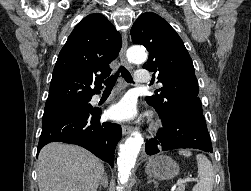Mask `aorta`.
<instances>
[{
	"label": "aorta",
	"instance_id": "1",
	"mask_svg": "<svg viewBox=\"0 0 251 191\" xmlns=\"http://www.w3.org/2000/svg\"><path fill=\"white\" fill-rule=\"evenodd\" d=\"M127 58L132 64H143L147 60V52L145 48L140 46H132L127 50ZM143 143V137L140 131H133L131 137L126 139L125 143L120 145V153L117 159L118 177L120 181L126 183L131 173L132 167L135 165L136 157Z\"/></svg>",
	"mask_w": 251,
	"mask_h": 191
}]
</instances>
